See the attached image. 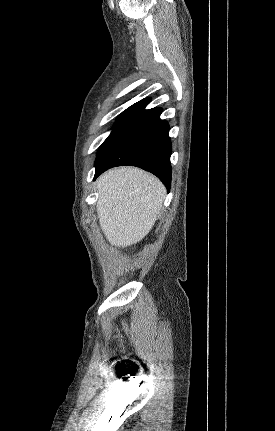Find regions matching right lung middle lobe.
I'll return each instance as SVG.
<instances>
[{
    "label": "right lung middle lobe",
    "instance_id": "1",
    "mask_svg": "<svg viewBox=\"0 0 275 431\" xmlns=\"http://www.w3.org/2000/svg\"><path fill=\"white\" fill-rule=\"evenodd\" d=\"M133 113H127L123 112L119 115V117L116 120V123L113 127V131L109 135V137L104 141V143L101 145L100 150H102L108 142L123 128V126L134 116ZM101 152V151H100ZM99 152V153H100Z\"/></svg>",
    "mask_w": 275,
    "mask_h": 431
}]
</instances>
